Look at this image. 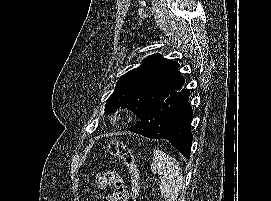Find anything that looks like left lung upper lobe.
Segmentation results:
<instances>
[{"instance_id":"5c2ea615","label":"left lung upper lobe","mask_w":271,"mask_h":201,"mask_svg":"<svg viewBox=\"0 0 271 201\" xmlns=\"http://www.w3.org/2000/svg\"><path fill=\"white\" fill-rule=\"evenodd\" d=\"M179 64L159 53L146 57L142 64L124 74L107 99L105 113L129 108L140 119L141 135L160 139L166 130L171 110L184 84Z\"/></svg>"}]
</instances>
